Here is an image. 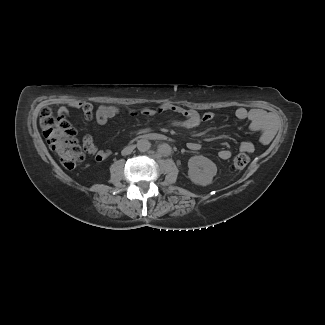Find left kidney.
<instances>
[{"mask_svg":"<svg viewBox=\"0 0 325 325\" xmlns=\"http://www.w3.org/2000/svg\"><path fill=\"white\" fill-rule=\"evenodd\" d=\"M189 179L197 185L207 186L212 183L213 177L217 174V167L210 159L198 155L188 160Z\"/></svg>","mask_w":325,"mask_h":325,"instance_id":"obj_1","label":"left kidney"}]
</instances>
